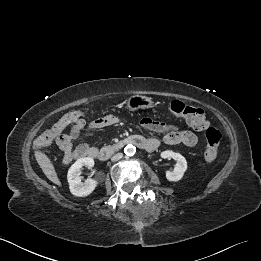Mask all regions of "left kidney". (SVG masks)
Instances as JSON below:
<instances>
[{
  "mask_svg": "<svg viewBox=\"0 0 261 261\" xmlns=\"http://www.w3.org/2000/svg\"><path fill=\"white\" fill-rule=\"evenodd\" d=\"M162 158H172L176 161L173 171H166V178L168 181H179L182 179L185 171L187 170V161L184 156L173 151H163Z\"/></svg>",
  "mask_w": 261,
  "mask_h": 261,
  "instance_id": "obj_1",
  "label": "left kidney"
}]
</instances>
